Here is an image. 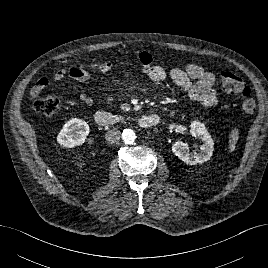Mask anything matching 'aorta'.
I'll list each match as a JSON object with an SVG mask.
<instances>
[{
	"label": "aorta",
	"mask_w": 268,
	"mask_h": 268,
	"mask_svg": "<svg viewBox=\"0 0 268 268\" xmlns=\"http://www.w3.org/2000/svg\"><path fill=\"white\" fill-rule=\"evenodd\" d=\"M136 139V134L133 130L131 129H125L122 133V140L126 144H132Z\"/></svg>",
	"instance_id": "1"
}]
</instances>
